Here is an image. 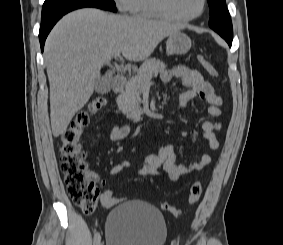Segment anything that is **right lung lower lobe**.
Masks as SVG:
<instances>
[{
	"mask_svg": "<svg viewBox=\"0 0 283 245\" xmlns=\"http://www.w3.org/2000/svg\"><path fill=\"white\" fill-rule=\"evenodd\" d=\"M84 7H95V8H100V9L109 10L113 12L117 11V9L115 8V5L88 3V4L73 5L68 8L58 10L50 14H47L45 16H42L40 31H39V39H40V45H41L42 51L44 49L46 37L51 31V29L53 28V26L56 24V22L68 12L79 9V8H84Z\"/></svg>",
	"mask_w": 283,
	"mask_h": 245,
	"instance_id": "1",
	"label": "right lung lower lobe"
}]
</instances>
